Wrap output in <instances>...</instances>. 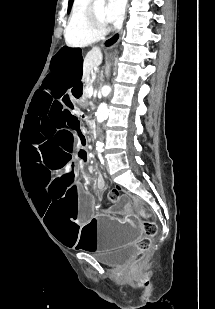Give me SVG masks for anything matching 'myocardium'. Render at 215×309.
<instances>
[{
    "mask_svg": "<svg viewBox=\"0 0 215 309\" xmlns=\"http://www.w3.org/2000/svg\"><path fill=\"white\" fill-rule=\"evenodd\" d=\"M83 14L85 17L90 18L88 30H93L91 32L92 36L106 34L108 32L109 26L112 24L110 19H95L96 17L94 12L88 8L83 9Z\"/></svg>",
    "mask_w": 215,
    "mask_h": 309,
    "instance_id": "f54148a6",
    "label": "myocardium"
}]
</instances>
